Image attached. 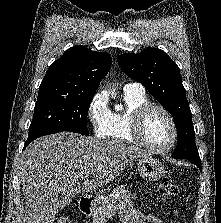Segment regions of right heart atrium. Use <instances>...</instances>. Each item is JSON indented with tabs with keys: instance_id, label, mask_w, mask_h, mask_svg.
<instances>
[{
	"instance_id": "right-heart-atrium-1",
	"label": "right heart atrium",
	"mask_w": 221,
	"mask_h": 223,
	"mask_svg": "<svg viewBox=\"0 0 221 223\" xmlns=\"http://www.w3.org/2000/svg\"><path fill=\"white\" fill-rule=\"evenodd\" d=\"M110 113L105 94L101 92L96 93L87 107V119L95 137L105 138L108 135Z\"/></svg>"
}]
</instances>
